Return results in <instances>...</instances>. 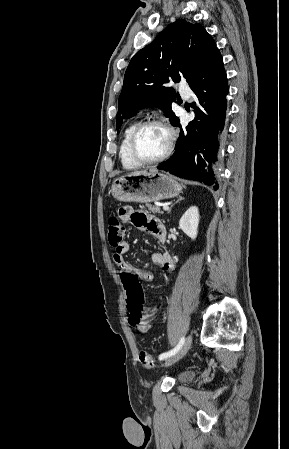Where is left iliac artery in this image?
Wrapping results in <instances>:
<instances>
[{"label":"left iliac artery","instance_id":"1","mask_svg":"<svg viewBox=\"0 0 289 449\" xmlns=\"http://www.w3.org/2000/svg\"><path fill=\"white\" fill-rule=\"evenodd\" d=\"M184 342H185V338L182 337L180 339V341L178 342V344L172 350L160 354L159 355V360H164V359H167L168 357L174 355L181 348V346L183 345Z\"/></svg>","mask_w":289,"mask_h":449}]
</instances>
